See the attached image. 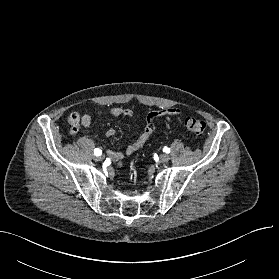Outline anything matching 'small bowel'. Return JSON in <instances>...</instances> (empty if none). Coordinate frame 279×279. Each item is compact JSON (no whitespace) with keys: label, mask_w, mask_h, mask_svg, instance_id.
<instances>
[{"label":"small bowel","mask_w":279,"mask_h":279,"mask_svg":"<svg viewBox=\"0 0 279 279\" xmlns=\"http://www.w3.org/2000/svg\"><path fill=\"white\" fill-rule=\"evenodd\" d=\"M181 114L180 109L176 107H170V108H162L156 111H152L148 114L146 123L144 127L142 128L140 135L138 138L132 142H130L126 148L125 151H107V155L109 158H111L114 161L121 162L125 155H131L138 149H140L145 142L148 140L150 135L155 132L156 126H155V120L161 116H179ZM99 116L102 115H110V116H125V117H132L133 112L130 109L123 108V107H114L109 111H99ZM92 118L90 114H84L81 118V124L88 128L91 126ZM115 130L113 128H109L106 130V136L107 137H113L115 135Z\"/></svg>","instance_id":"small-bowel-1"}]
</instances>
